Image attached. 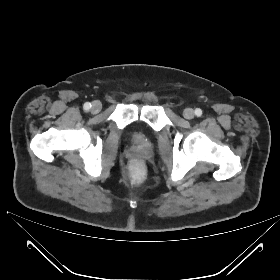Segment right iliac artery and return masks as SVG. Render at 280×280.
I'll return each instance as SVG.
<instances>
[{"label": "right iliac artery", "mask_w": 280, "mask_h": 280, "mask_svg": "<svg viewBox=\"0 0 280 280\" xmlns=\"http://www.w3.org/2000/svg\"><path fill=\"white\" fill-rule=\"evenodd\" d=\"M90 108H91V104L90 103L87 102V103L84 104V109L85 110H89Z\"/></svg>", "instance_id": "1"}]
</instances>
